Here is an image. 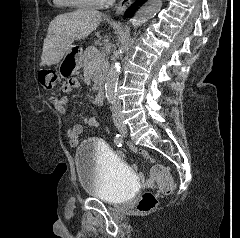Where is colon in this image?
<instances>
[{"label": "colon", "instance_id": "1", "mask_svg": "<svg viewBox=\"0 0 240 238\" xmlns=\"http://www.w3.org/2000/svg\"><path fill=\"white\" fill-rule=\"evenodd\" d=\"M38 80L41 86L46 90H52L56 84V73L51 69H41L38 73ZM152 181L158 185L160 192L170 193L174 183L168 169L161 165H155L150 173ZM157 197L151 191H146L140 197L137 203V210L141 213L152 211L157 206Z\"/></svg>", "mask_w": 240, "mask_h": 238}]
</instances>
